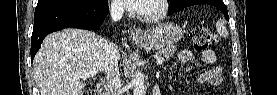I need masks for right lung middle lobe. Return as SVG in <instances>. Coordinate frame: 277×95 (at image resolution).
Returning <instances> with one entry per match:
<instances>
[{"label": "right lung middle lobe", "instance_id": "1", "mask_svg": "<svg viewBox=\"0 0 277 95\" xmlns=\"http://www.w3.org/2000/svg\"><path fill=\"white\" fill-rule=\"evenodd\" d=\"M96 0H38L37 7L50 4H64V3H90Z\"/></svg>", "mask_w": 277, "mask_h": 95}]
</instances>
